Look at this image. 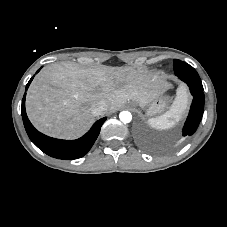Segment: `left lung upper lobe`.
I'll return each instance as SVG.
<instances>
[{"instance_id": "obj_1", "label": "left lung upper lobe", "mask_w": 227, "mask_h": 227, "mask_svg": "<svg viewBox=\"0 0 227 227\" xmlns=\"http://www.w3.org/2000/svg\"><path fill=\"white\" fill-rule=\"evenodd\" d=\"M174 72L176 76H198V73L192 66L178 59L174 60Z\"/></svg>"}]
</instances>
